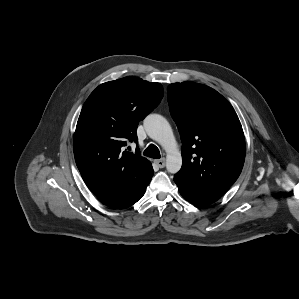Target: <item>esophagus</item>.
<instances>
[{"instance_id":"1","label":"esophagus","mask_w":299,"mask_h":299,"mask_svg":"<svg viewBox=\"0 0 299 299\" xmlns=\"http://www.w3.org/2000/svg\"><path fill=\"white\" fill-rule=\"evenodd\" d=\"M155 163L158 165L159 168L165 167V159L164 158L155 160Z\"/></svg>"}]
</instances>
